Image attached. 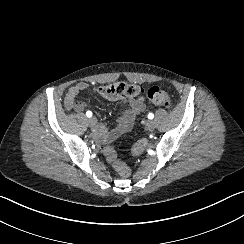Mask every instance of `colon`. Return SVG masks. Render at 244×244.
Returning a JSON list of instances; mask_svg holds the SVG:
<instances>
[{"label": "colon", "mask_w": 244, "mask_h": 244, "mask_svg": "<svg viewBox=\"0 0 244 244\" xmlns=\"http://www.w3.org/2000/svg\"><path fill=\"white\" fill-rule=\"evenodd\" d=\"M140 86H137L133 83H128L125 81L115 82L110 85H102L96 89V94L105 97L107 99H116L124 95L127 96H136L140 94ZM148 94L145 95L148 101L154 105L161 106L163 108L169 109L172 106V97L171 94L159 87L153 86L148 89ZM149 147V142L146 139H141L137 144L132 147V152L135 155L143 154ZM101 154L106 157V160L109 163H113V170L118 173L120 176L128 178L131 176L132 171L129 166L119 162L117 160V155L115 150L111 146H104L101 149Z\"/></svg>", "instance_id": "colon-1"}]
</instances>
